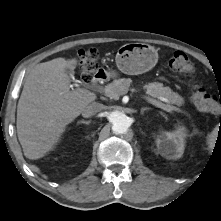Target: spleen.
Listing matches in <instances>:
<instances>
[{"mask_svg":"<svg viewBox=\"0 0 221 221\" xmlns=\"http://www.w3.org/2000/svg\"><path fill=\"white\" fill-rule=\"evenodd\" d=\"M214 139H215V134H211L208 139L210 146H212V144L214 143Z\"/></svg>","mask_w":221,"mask_h":221,"instance_id":"obj_1","label":"spleen"}]
</instances>
